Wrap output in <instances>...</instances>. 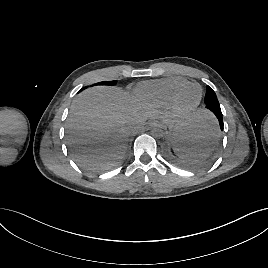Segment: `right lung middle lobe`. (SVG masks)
<instances>
[{"mask_svg": "<svg viewBox=\"0 0 268 268\" xmlns=\"http://www.w3.org/2000/svg\"><path fill=\"white\" fill-rule=\"evenodd\" d=\"M116 83H117V81H104V82L98 83L97 85H109V86H112V85H115Z\"/></svg>", "mask_w": 268, "mask_h": 268, "instance_id": "1", "label": "right lung middle lobe"}]
</instances>
